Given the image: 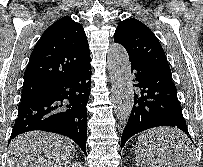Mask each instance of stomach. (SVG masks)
Here are the masks:
<instances>
[{
    "label": "stomach",
    "mask_w": 203,
    "mask_h": 167,
    "mask_svg": "<svg viewBox=\"0 0 203 167\" xmlns=\"http://www.w3.org/2000/svg\"><path fill=\"white\" fill-rule=\"evenodd\" d=\"M147 149H148V148L146 147V148H145V151H144L145 157H147V155L149 154V152H148Z\"/></svg>",
    "instance_id": "obj_1"
}]
</instances>
